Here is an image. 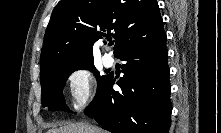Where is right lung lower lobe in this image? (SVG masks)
<instances>
[{
  "label": "right lung lower lobe",
  "mask_w": 221,
  "mask_h": 133,
  "mask_svg": "<svg viewBox=\"0 0 221 133\" xmlns=\"http://www.w3.org/2000/svg\"><path fill=\"white\" fill-rule=\"evenodd\" d=\"M124 76L114 91L107 76L85 113L113 133H168L171 100L166 34L157 41L137 43L118 56Z\"/></svg>",
  "instance_id": "obj_1"
}]
</instances>
